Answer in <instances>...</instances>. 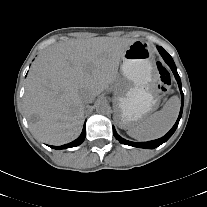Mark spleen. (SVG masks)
Returning a JSON list of instances; mask_svg holds the SVG:
<instances>
[{
  "label": "spleen",
  "instance_id": "1",
  "mask_svg": "<svg viewBox=\"0 0 207 207\" xmlns=\"http://www.w3.org/2000/svg\"><path fill=\"white\" fill-rule=\"evenodd\" d=\"M180 110V99L172 96L163 108L145 120L134 123L127 134L138 141H149L162 137L174 125Z\"/></svg>",
  "mask_w": 207,
  "mask_h": 207
}]
</instances>
